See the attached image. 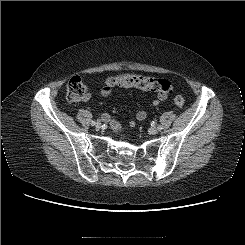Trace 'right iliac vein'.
<instances>
[{"label": "right iliac vein", "instance_id": "obj_1", "mask_svg": "<svg viewBox=\"0 0 245 245\" xmlns=\"http://www.w3.org/2000/svg\"><path fill=\"white\" fill-rule=\"evenodd\" d=\"M95 127H96V129H100V128H101V123H100V122H97V123L95 124Z\"/></svg>", "mask_w": 245, "mask_h": 245}]
</instances>
